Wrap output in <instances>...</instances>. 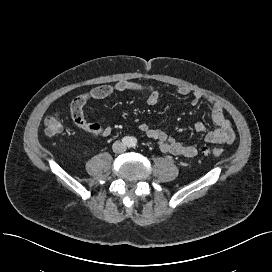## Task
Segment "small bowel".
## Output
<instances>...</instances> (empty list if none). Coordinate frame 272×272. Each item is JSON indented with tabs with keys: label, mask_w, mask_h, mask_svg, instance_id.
I'll use <instances>...</instances> for the list:
<instances>
[{
	"label": "small bowel",
	"mask_w": 272,
	"mask_h": 272,
	"mask_svg": "<svg viewBox=\"0 0 272 272\" xmlns=\"http://www.w3.org/2000/svg\"><path fill=\"white\" fill-rule=\"evenodd\" d=\"M139 92L147 95V103L150 106L158 104L161 91L147 84H141L129 80H121L115 84L101 85L81 94L71 103V115L78 128L93 137H108L113 128L98 122H89L84 115V107L91 100H101L116 93ZM178 93L181 96L191 97V103L197 105L205 102L209 107L210 116L215 124V129L208 130L203 123H197L195 130L203 135L204 140L210 144H231L235 140V133L231 122L225 117L222 104L199 92H193L187 87H180ZM138 129L148 138L157 142L159 149L168 154L192 158L196 156L197 149L193 145L185 144L167 135L163 130L151 127L147 123H140Z\"/></svg>",
	"instance_id": "c3829d8e"
}]
</instances>
